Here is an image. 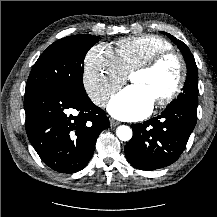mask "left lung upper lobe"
Listing matches in <instances>:
<instances>
[{
  "label": "left lung upper lobe",
  "mask_w": 217,
  "mask_h": 217,
  "mask_svg": "<svg viewBox=\"0 0 217 217\" xmlns=\"http://www.w3.org/2000/svg\"><path fill=\"white\" fill-rule=\"evenodd\" d=\"M163 34L168 36L174 43L177 44V47L180 49L187 65V79L183 87V92L180 93L178 98L170 105L182 102L198 105V70L194 56L185 43L177 40L169 33L163 32Z\"/></svg>",
  "instance_id": "1"
}]
</instances>
